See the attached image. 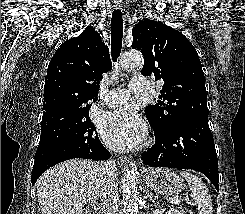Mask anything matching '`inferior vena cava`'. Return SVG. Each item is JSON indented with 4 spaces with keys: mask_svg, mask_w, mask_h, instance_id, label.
<instances>
[{
    "mask_svg": "<svg viewBox=\"0 0 245 214\" xmlns=\"http://www.w3.org/2000/svg\"><path fill=\"white\" fill-rule=\"evenodd\" d=\"M101 170L103 174V181L100 189L102 210L104 214H119L116 163L113 160L102 163Z\"/></svg>",
    "mask_w": 245,
    "mask_h": 214,
    "instance_id": "1",
    "label": "inferior vena cava"
}]
</instances>
